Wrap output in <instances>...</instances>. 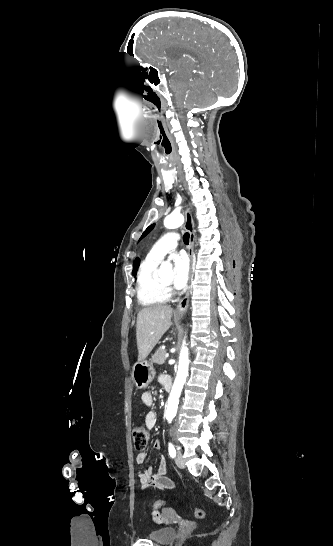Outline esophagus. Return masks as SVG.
<instances>
[{"label": "esophagus", "instance_id": "1", "mask_svg": "<svg viewBox=\"0 0 333 546\" xmlns=\"http://www.w3.org/2000/svg\"><path fill=\"white\" fill-rule=\"evenodd\" d=\"M185 228L190 234V244H189V248H188V254H189L190 261H191V266H192V263H193V260H194L193 247H194L195 234H194L193 220H192V216H191V212H190L189 208H186V210H185ZM189 278H191V270H190V277ZM189 294H190V289H188V291H187L186 295L184 296V298L177 305V307H176V309L174 311V314L176 316H182L186 312V310L188 308V303H189Z\"/></svg>", "mask_w": 333, "mask_h": 546}]
</instances>
